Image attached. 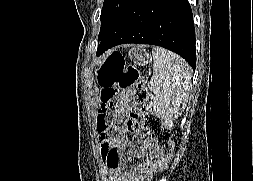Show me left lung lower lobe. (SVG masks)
I'll list each match as a JSON object with an SVG mask.
<instances>
[{
    "instance_id": "left-lung-lower-lobe-1",
    "label": "left lung lower lobe",
    "mask_w": 253,
    "mask_h": 181,
    "mask_svg": "<svg viewBox=\"0 0 253 181\" xmlns=\"http://www.w3.org/2000/svg\"><path fill=\"white\" fill-rule=\"evenodd\" d=\"M124 43L162 46L195 69V29L188 0H131L101 39L97 55Z\"/></svg>"
}]
</instances>
